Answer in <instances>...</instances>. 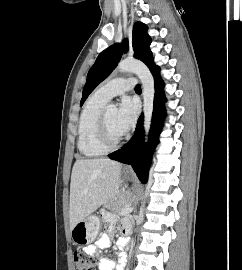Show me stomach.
Here are the masks:
<instances>
[{
	"label": "stomach",
	"instance_id": "obj_1",
	"mask_svg": "<svg viewBox=\"0 0 242 270\" xmlns=\"http://www.w3.org/2000/svg\"><path fill=\"white\" fill-rule=\"evenodd\" d=\"M100 220L97 216L91 215L77 223L71 230V238L74 244L88 245L92 243L98 233Z\"/></svg>",
	"mask_w": 242,
	"mask_h": 270
}]
</instances>
